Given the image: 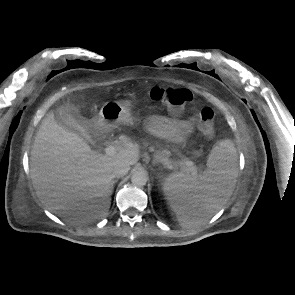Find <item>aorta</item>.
Masks as SVG:
<instances>
[{"label": "aorta", "mask_w": 295, "mask_h": 295, "mask_svg": "<svg viewBox=\"0 0 295 295\" xmlns=\"http://www.w3.org/2000/svg\"><path fill=\"white\" fill-rule=\"evenodd\" d=\"M148 174L145 170H136L131 176V182L136 186H144L147 183Z\"/></svg>", "instance_id": "762f6f07"}]
</instances>
